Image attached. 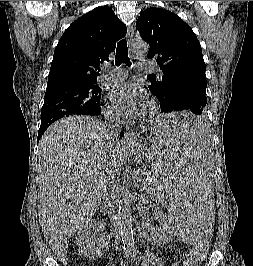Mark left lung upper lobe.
Here are the masks:
<instances>
[{
	"label": "left lung upper lobe",
	"mask_w": 253,
	"mask_h": 266,
	"mask_svg": "<svg viewBox=\"0 0 253 266\" xmlns=\"http://www.w3.org/2000/svg\"><path fill=\"white\" fill-rule=\"evenodd\" d=\"M136 28L149 45L148 58L155 59L163 72L161 81L150 79L152 82L148 86L161 105H165L171 92L184 83L206 90L201 45L188 24L168 10L149 8L140 14Z\"/></svg>",
	"instance_id": "5c2ea615"
}]
</instances>
